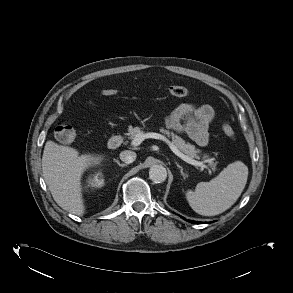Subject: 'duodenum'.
<instances>
[{"label":"duodenum","instance_id":"1","mask_svg":"<svg viewBox=\"0 0 293 293\" xmlns=\"http://www.w3.org/2000/svg\"><path fill=\"white\" fill-rule=\"evenodd\" d=\"M123 139L120 135H113L109 138L107 146L109 149H117L121 146Z\"/></svg>","mask_w":293,"mask_h":293}]
</instances>
